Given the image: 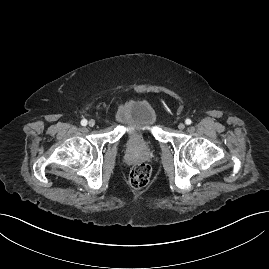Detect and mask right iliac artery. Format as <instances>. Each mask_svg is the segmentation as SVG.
<instances>
[{
    "label": "right iliac artery",
    "instance_id": "82829eb1",
    "mask_svg": "<svg viewBox=\"0 0 269 269\" xmlns=\"http://www.w3.org/2000/svg\"><path fill=\"white\" fill-rule=\"evenodd\" d=\"M81 125L86 126L87 125V120L86 119L81 120Z\"/></svg>",
    "mask_w": 269,
    "mask_h": 269
}]
</instances>
